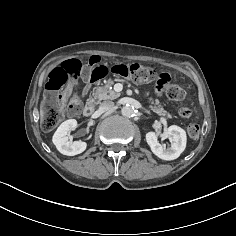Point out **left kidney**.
I'll use <instances>...</instances> for the list:
<instances>
[{
    "instance_id": "1",
    "label": "left kidney",
    "mask_w": 236,
    "mask_h": 236,
    "mask_svg": "<svg viewBox=\"0 0 236 236\" xmlns=\"http://www.w3.org/2000/svg\"><path fill=\"white\" fill-rule=\"evenodd\" d=\"M169 136L172 140L171 146L165 149L158 141V137ZM146 141L151 148V151L160 159L174 160L186 148V132L179 126L172 125L166 129L165 133L159 134L153 131L146 133Z\"/></svg>"
}]
</instances>
